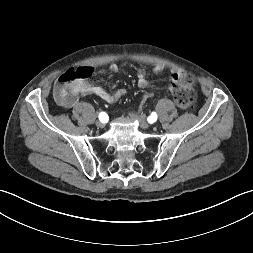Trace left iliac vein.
Segmentation results:
<instances>
[{
  "label": "left iliac vein",
  "mask_w": 253,
  "mask_h": 253,
  "mask_svg": "<svg viewBox=\"0 0 253 253\" xmlns=\"http://www.w3.org/2000/svg\"><path fill=\"white\" fill-rule=\"evenodd\" d=\"M132 116L139 121L142 128H148L150 126V124L147 122L146 118L143 115L133 114Z\"/></svg>",
  "instance_id": "4c4485c4"
}]
</instances>
